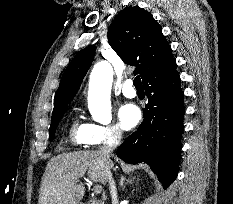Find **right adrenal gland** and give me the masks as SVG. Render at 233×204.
Wrapping results in <instances>:
<instances>
[{
  "label": "right adrenal gland",
  "instance_id": "2a0ac1e0",
  "mask_svg": "<svg viewBox=\"0 0 233 204\" xmlns=\"http://www.w3.org/2000/svg\"><path fill=\"white\" fill-rule=\"evenodd\" d=\"M124 181H125L124 177H123V176H121V181H120V185H121V186H123ZM130 181H131V180H130Z\"/></svg>",
  "mask_w": 233,
  "mask_h": 204
}]
</instances>
